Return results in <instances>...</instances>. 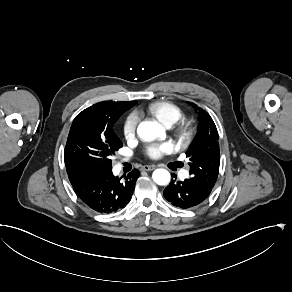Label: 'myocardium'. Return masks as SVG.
<instances>
[{
	"instance_id": "obj_1",
	"label": "myocardium",
	"mask_w": 292,
	"mask_h": 292,
	"mask_svg": "<svg viewBox=\"0 0 292 292\" xmlns=\"http://www.w3.org/2000/svg\"><path fill=\"white\" fill-rule=\"evenodd\" d=\"M188 130H189L188 124L183 122L181 125L178 126L177 133L181 137H188L189 136Z\"/></svg>"
}]
</instances>
